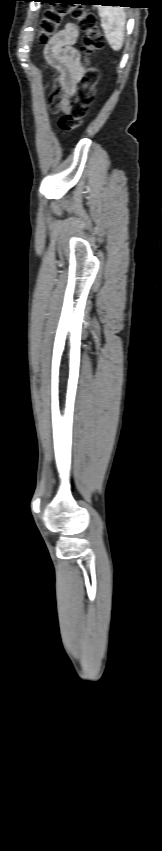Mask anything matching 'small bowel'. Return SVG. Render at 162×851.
Instances as JSON below:
<instances>
[{"instance_id":"obj_1","label":"small bowel","mask_w":162,"mask_h":851,"mask_svg":"<svg viewBox=\"0 0 162 851\" xmlns=\"http://www.w3.org/2000/svg\"><path fill=\"white\" fill-rule=\"evenodd\" d=\"M77 40L78 30L73 23H69L44 48L47 62L59 73L50 104L53 109L62 112L67 111L70 98L84 74L81 55L76 48Z\"/></svg>"}]
</instances>
